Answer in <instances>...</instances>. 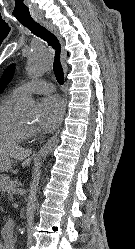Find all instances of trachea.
I'll list each match as a JSON object with an SVG mask.
<instances>
[{
  "instance_id": "3493384b",
  "label": "trachea",
  "mask_w": 135,
  "mask_h": 249,
  "mask_svg": "<svg viewBox=\"0 0 135 249\" xmlns=\"http://www.w3.org/2000/svg\"><path fill=\"white\" fill-rule=\"evenodd\" d=\"M27 27L34 35L40 37L55 49V58L53 64V71L59 84H63L64 73L60 62L61 46L57 37L45 27L41 26L37 22L21 23Z\"/></svg>"
}]
</instances>
